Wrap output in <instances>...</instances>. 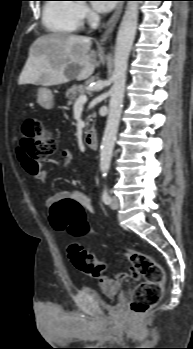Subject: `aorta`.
<instances>
[{
  "instance_id": "762f6f07",
  "label": "aorta",
  "mask_w": 193,
  "mask_h": 349,
  "mask_svg": "<svg viewBox=\"0 0 193 349\" xmlns=\"http://www.w3.org/2000/svg\"><path fill=\"white\" fill-rule=\"evenodd\" d=\"M139 1H128L120 23L114 54L113 85L110 89L109 113L100 147V170L103 177L110 169L119 127L127 77L128 59L135 39Z\"/></svg>"
}]
</instances>
